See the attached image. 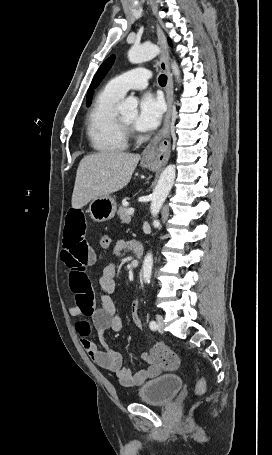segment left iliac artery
Listing matches in <instances>:
<instances>
[{
    "mask_svg": "<svg viewBox=\"0 0 272 455\" xmlns=\"http://www.w3.org/2000/svg\"><path fill=\"white\" fill-rule=\"evenodd\" d=\"M149 327H150V329H151V330H156V328H157V324H156V322H155V321H153V320H152V321H150V323H149Z\"/></svg>",
    "mask_w": 272,
    "mask_h": 455,
    "instance_id": "1",
    "label": "left iliac artery"
}]
</instances>
